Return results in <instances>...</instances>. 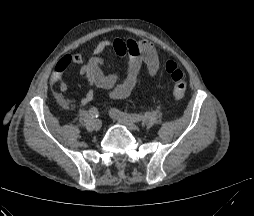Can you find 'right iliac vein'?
Here are the masks:
<instances>
[{
	"label": "right iliac vein",
	"instance_id": "right-iliac-vein-1",
	"mask_svg": "<svg viewBox=\"0 0 254 216\" xmlns=\"http://www.w3.org/2000/svg\"><path fill=\"white\" fill-rule=\"evenodd\" d=\"M94 130H100L102 127V121L99 119H96L92 123Z\"/></svg>",
	"mask_w": 254,
	"mask_h": 216
}]
</instances>
